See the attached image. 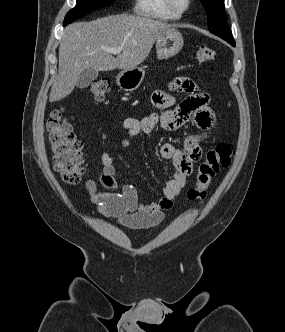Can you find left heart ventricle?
I'll return each instance as SVG.
<instances>
[{"label":"left heart ventricle","instance_id":"b2bd125f","mask_svg":"<svg viewBox=\"0 0 285 332\" xmlns=\"http://www.w3.org/2000/svg\"><path fill=\"white\" fill-rule=\"evenodd\" d=\"M177 2L180 6H183L185 4V0H177Z\"/></svg>","mask_w":285,"mask_h":332}]
</instances>
